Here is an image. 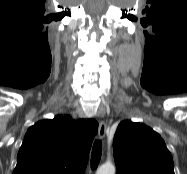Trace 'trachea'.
<instances>
[{
  "mask_svg": "<svg viewBox=\"0 0 187 174\" xmlns=\"http://www.w3.org/2000/svg\"><path fill=\"white\" fill-rule=\"evenodd\" d=\"M102 154V142L95 140L91 154V169L95 170L100 162Z\"/></svg>",
  "mask_w": 187,
  "mask_h": 174,
  "instance_id": "1",
  "label": "trachea"
}]
</instances>
